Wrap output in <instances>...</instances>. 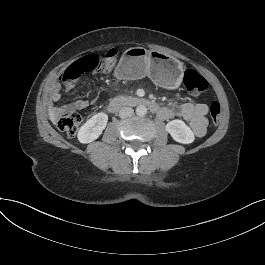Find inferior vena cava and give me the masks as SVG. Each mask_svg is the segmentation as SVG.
<instances>
[{
  "label": "inferior vena cava",
  "instance_id": "obj_1",
  "mask_svg": "<svg viewBox=\"0 0 265 265\" xmlns=\"http://www.w3.org/2000/svg\"><path fill=\"white\" fill-rule=\"evenodd\" d=\"M134 111L131 107H123L120 109L119 116L120 118H127L133 115Z\"/></svg>",
  "mask_w": 265,
  "mask_h": 265
}]
</instances>
